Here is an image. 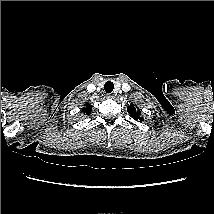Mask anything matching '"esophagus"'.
<instances>
[{"instance_id":"34e87169","label":"esophagus","mask_w":214,"mask_h":214,"mask_svg":"<svg viewBox=\"0 0 214 214\" xmlns=\"http://www.w3.org/2000/svg\"><path fill=\"white\" fill-rule=\"evenodd\" d=\"M108 99H113L114 98V95L113 94H107L106 96Z\"/></svg>"}]
</instances>
